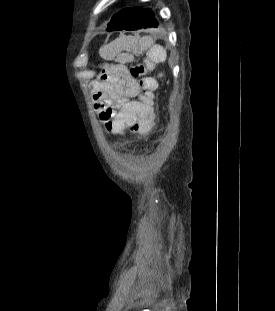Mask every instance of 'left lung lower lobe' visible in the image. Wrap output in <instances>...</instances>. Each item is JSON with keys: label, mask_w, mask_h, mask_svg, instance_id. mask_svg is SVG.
I'll list each match as a JSON object with an SVG mask.
<instances>
[{"label": "left lung lower lobe", "mask_w": 275, "mask_h": 311, "mask_svg": "<svg viewBox=\"0 0 275 311\" xmlns=\"http://www.w3.org/2000/svg\"><path fill=\"white\" fill-rule=\"evenodd\" d=\"M158 22L150 9L141 10L134 22L128 25L124 30L134 31L147 28H157Z\"/></svg>", "instance_id": "left-lung-lower-lobe-1"}]
</instances>
